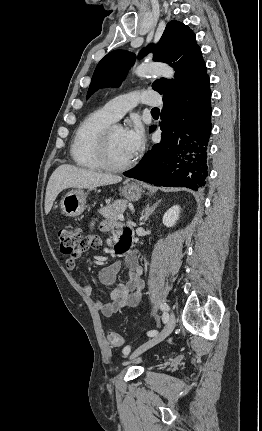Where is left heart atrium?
Wrapping results in <instances>:
<instances>
[{
    "mask_svg": "<svg viewBox=\"0 0 262 431\" xmlns=\"http://www.w3.org/2000/svg\"><path fill=\"white\" fill-rule=\"evenodd\" d=\"M124 142L132 157L136 156L143 148L145 134L138 122H133L124 130Z\"/></svg>",
    "mask_w": 262,
    "mask_h": 431,
    "instance_id": "left-heart-atrium-1",
    "label": "left heart atrium"
}]
</instances>
